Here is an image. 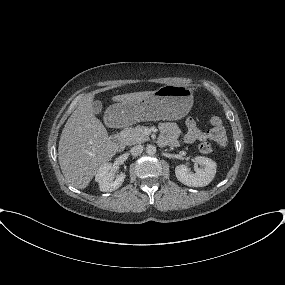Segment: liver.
<instances>
[{"instance_id": "liver-1", "label": "liver", "mask_w": 285, "mask_h": 285, "mask_svg": "<svg viewBox=\"0 0 285 285\" xmlns=\"http://www.w3.org/2000/svg\"><path fill=\"white\" fill-rule=\"evenodd\" d=\"M153 91L134 92L112 97L119 103L133 102ZM93 95L85 96L66 122L59 141L60 168L67 181L78 189L88 186L99 167L118 151L104 125L92 110Z\"/></svg>"}]
</instances>
